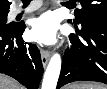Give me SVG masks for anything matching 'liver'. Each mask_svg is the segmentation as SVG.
Here are the masks:
<instances>
[{
  "label": "liver",
  "instance_id": "liver-1",
  "mask_svg": "<svg viewBox=\"0 0 107 89\" xmlns=\"http://www.w3.org/2000/svg\"><path fill=\"white\" fill-rule=\"evenodd\" d=\"M0 89H23V87L14 79L6 76H0Z\"/></svg>",
  "mask_w": 107,
  "mask_h": 89
}]
</instances>
